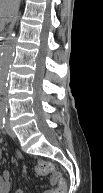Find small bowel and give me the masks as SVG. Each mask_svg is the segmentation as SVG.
I'll return each instance as SVG.
<instances>
[{
	"label": "small bowel",
	"instance_id": "obj_1",
	"mask_svg": "<svg viewBox=\"0 0 103 193\" xmlns=\"http://www.w3.org/2000/svg\"><path fill=\"white\" fill-rule=\"evenodd\" d=\"M0 193H10L11 191V172L8 170L3 171L0 179ZM14 193H24L23 190H16ZM44 193H62L61 188L53 186L52 188L44 191Z\"/></svg>",
	"mask_w": 103,
	"mask_h": 193
}]
</instances>
